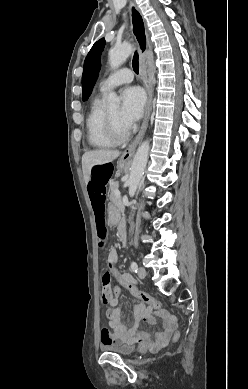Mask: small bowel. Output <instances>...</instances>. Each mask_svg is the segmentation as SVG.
Masks as SVG:
<instances>
[{
  "mask_svg": "<svg viewBox=\"0 0 248 389\" xmlns=\"http://www.w3.org/2000/svg\"><path fill=\"white\" fill-rule=\"evenodd\" d=\"M116 258V250L112 249L109 253V262L111 265L115 263ZM120 274L121 277H127L133 284H137V281L129 273L121 272ZM112 294L111 290V298L106 302L110 305L106 315L112 332L107 328L102 329L100 336L102 344L111 342L113 338H117L123 341L136 342L141 344L144 348L155 350L168 342L176 328V320L170 313L161 310L154 315L152 314L150 307H147L142 303H137L134 305L132 323L130 326H127L122 321L121 309L117 307L120 298H113ZM157 318L162 320V326L154 333L139 329L141 321H146L155 325L157 324Z\"/></svg>",
  "mask_w": 248,
  "mask_h": 389,
  "instance_id": "c3829d8e",
  "label": "small bowel"
}]
</instances>
